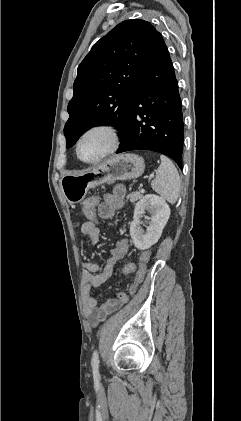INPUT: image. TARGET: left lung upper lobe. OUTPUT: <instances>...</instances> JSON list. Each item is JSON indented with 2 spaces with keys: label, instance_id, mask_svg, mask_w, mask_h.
Segmentation results:
<instances>
[{
  "label": "left lung upper lobe",
  "instance_id": "left-lung-upper-lobe-1",
  "mask_svg": "<svg viewBox=\"0 0 241 421\" xmlns=\"http://www.w3.org/2000/svg\"><path fill=\"white\" fill-rule=\"evenodd\" d=\"M160 33L149 22L126 20L98 40L78 67L64 127L67 148L94 126L129 124L136 86Z\"/></svg>",
  "mask_w": 241,
  "mask_h": 421
}]
</instances>
